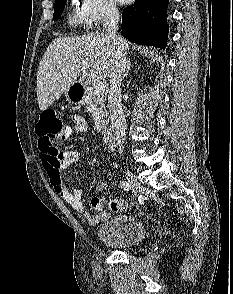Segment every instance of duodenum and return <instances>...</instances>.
<instances>
[{"label": "duodenum", "mask_w": 233, "mask_h": 294, "mask_svg": "<svg viewBox=\"0 0 233 294\" xmlns=\"http://www.w3.org/2000/svg\"><path fill=\"white\" fill-rule=\"evenodd\" d=\"M82 91H83V87L81 85L75 86V88H74L75 94L81 95ZM101 137H102L103 142L105 144H107L108 146L115 145V137H114L111 130H109L107 128L103 129L101 132Z\"/></svg>", "instance_id": "1"}]
</instances>
